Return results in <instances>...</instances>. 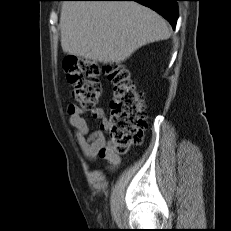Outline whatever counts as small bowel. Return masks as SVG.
<instances>
[{"instance_id":"c3829d8e","label":"small bowel","mask_w":231,"mask_h":231,"mask_svg":"<svg viewBox=\"0 0 231 231\" xmlns=\"http://www.w3.org/2000/svg\"><path fill=\"white\" fill-rule=\"evenodd\" d=\"M69 122L75 129V139L83 154L94 160L97 157L106 158L111 167H116L120 158L115 153L113 146L106 141L104 133L109 129L110 123L101 109L92 110L94 118L100 121V127L96 131H90L87 120L83 116L85 111L76 105L68 107Z\"/></svg>"}]
</instances>
